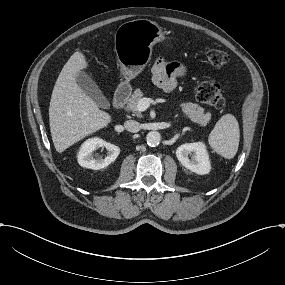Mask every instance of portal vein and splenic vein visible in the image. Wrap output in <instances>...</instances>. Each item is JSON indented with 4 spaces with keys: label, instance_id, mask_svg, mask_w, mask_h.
<instances>
[{
    "label": "portal vein and splenic vein",
    "instance_id": "18ae733b",
    "mask_svg": "<svg viewBox=\"0 0 285 285\" xmlns=\"http://www.w3.org/2000/svg\"><path fill=\"white\" fill-rule=\"evenodd\" d=\"M159 102V99H152V98H142L137 103L135 107V112L141 113L148 109L150 105H156Z\"/></svg>",
    "mask_w": 285,
    "mask_h": 285
}]
</instances>
